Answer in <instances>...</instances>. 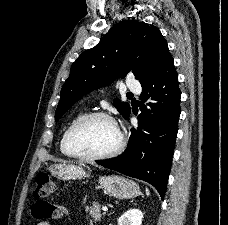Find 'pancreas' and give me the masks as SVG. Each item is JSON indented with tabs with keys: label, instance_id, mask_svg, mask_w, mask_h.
Listing matches in <instances>:
<instances>
[{
	"label": "pancreas",
	"instance_id": "pancreas-1",
	"mask_svg": "<svg viewBox=\"0 0 228 225\" xmlns=\"http://www.w3.org/2000/svg\"><path fill=\"white\" fill-rule=\"evenodd\" d=\"M93 207H85V211L89 213L90 217H93L95 221H101V205H98V203H92Z\"/></svg>",
	"mask_w": 228,
	"mask_h": 225
}]
</instances>
